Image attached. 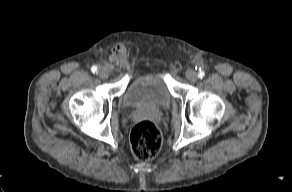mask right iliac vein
<instances>
[{"label": "right iliac vein", "instance_id": "63e3f726", "mask_svg": "<svg viewBox=\"0 0 292 192\" xmlns=\"http://www.w3.org/2000/svg\"><path fill=\"white\" fill-rule=\"evenodd\" d=\"M98 75L101 79H106L109 76V72L106 69L102 68L98 71Z\"/></svg>", "mask_w": 292, "mask_h": 192}]
</instances>
